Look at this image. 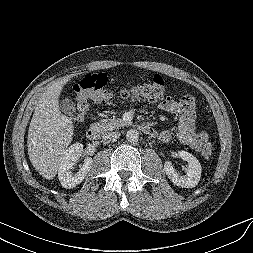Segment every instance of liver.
I'll list each match as a JSON object with an SVG mask.
<instances>
[{"instance_id": "1", "label": "liver", "mask_w": 253, "mask_h": 253, "mask_svg": "<svg viewBox=\"0 0 253 253\" xmlns=\"http://www.w3.org/2000/svg\"><path fill=\"white\" fill-rule=\"evenodd\" d=\"M69 78L52 83L41 95L30 122L27 146L31 164L46 179H53L74 135V125L59 108V96Z\"/></svg>"}]
</instances>
